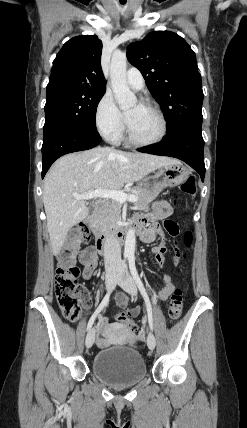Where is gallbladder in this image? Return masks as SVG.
<instances>
[{
    "label": "gallbladder",
    "mask_w": 247,
    "mask_h": 428,
    "mask_svg": "<svg viewBox=\"0 0 247 428\" xmlns=\"http://www.w3.org/2000/svg\"><path fill=\"white\" fill-rule=\"evenodd\" d=\"M88 208H89V212H92V211H93V205H92V204H89V205H88Z\"/></svg>",
    "instance_id": "bac80fb5"
}]
</instances>
